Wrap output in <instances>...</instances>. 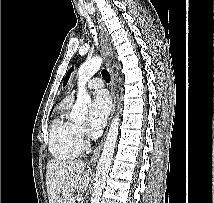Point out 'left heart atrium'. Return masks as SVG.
Instances as JSON below:
<instances>
[{
	"instance_id": "left-heart-atrium-1",
	"label": "left heart atrium",
	"mask_w": 214,
	"mask_h": 203,
	"mask_svg": "<svg viewBox=\"0 0 214 203\" xmlns=\"http://www.w3.org/2000/svg\"><path fill=\"white\" fill-rule=\"evenodd\" d=\"M110 113V100L104 91L95 94L89 114V124L92 129L98 130L106 124Z\"/></svg>"
}]
</instances>
